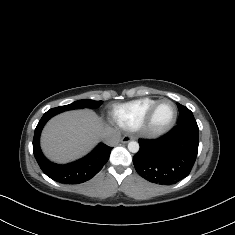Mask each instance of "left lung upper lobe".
Wrapping results in <instances>:
<instances>
[{"instance_id":"left-lung-upper-lobe-1","label":"left lung upper lobe","mask_w":235,"mask_h":235,"mask_svg":"<svg viewBox=\"0 0 235 235\" xmlns=\"http://www.w3.org/2000/svg\"><path fill=\"white\" fill-rule=\"evenodd\" d=\"M177 105L179 109V118H178L177 126L186 125V126L198 127L192 112L187 107L181 104H177Z\"/></svg>"}]
</instances>
